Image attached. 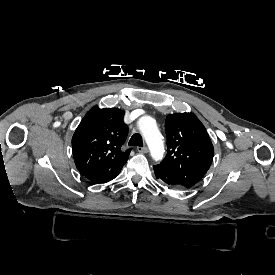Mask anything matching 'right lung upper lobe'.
<instances>
[{"instance_id":"obj_1","label":"right lung upper lobe","mask_w":275,"mask_h":275,"mask_svg":"<svg viewBox=\"0 0 275 275\" xmlns=\"http://www.w3.org/2000/svg\"><path fill=\"white\" fill-rule=\"evenodd\" d=\"M124 111L117 108H93L84 116L73 138V157L82 175L121 170L131 149L122 151L128 127Z\"/></svg>"}]
</instances>
